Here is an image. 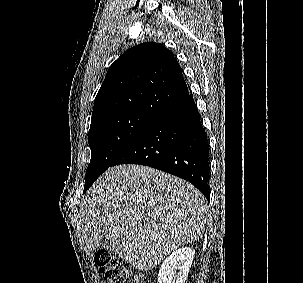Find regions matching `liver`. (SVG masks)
<instances>
[{
	"label": "liver",
	"instance_id": "liver-1",
	"mask_svg": "<svg viewBox=\"0 0 303 283\" xmlns=\"http://www.w3.org/2000/svg\"><path fill=\"white\" fill-rule=\"evenodd\" d=\"M207 211L206 198L184 180L147 166L120 165L86 193L79 226L88 252L107 238L119 257L147 271L202 238Z\"/></svg>",
	"mask_w": 303,
	"mask_h": 283
}]
</instances>
